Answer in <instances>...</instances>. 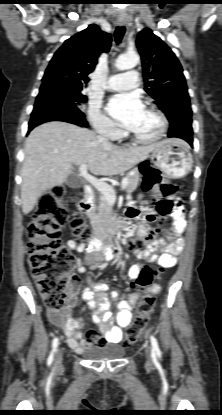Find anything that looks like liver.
<instances>
[{
    "label": "liver",
    "mask_w": 222,
    "mask_h": 415,
    "mask_svg": "<svg viewBox=\"0 0 222 415\" xmlns=\"http://www.w3.org/2000/svg\"><path fill=\"white\" fill-rule=\"evenodd\" d=\"M156 145L125 149L103 144L92 131L60 121L36 127L25 142L21 172L23 213L29 214L44 192L62 185L73 164H86L95 175L112 176L146 158Z\"/></svg>",
    "instance_id": "liver-1"
}]
</instances>
